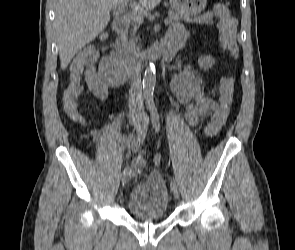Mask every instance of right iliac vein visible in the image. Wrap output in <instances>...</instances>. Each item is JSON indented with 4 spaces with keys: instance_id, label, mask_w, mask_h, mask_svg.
<instances>
[{
    "instance_id": "right-iliac-vein-1",
    "label": "right iliac vein",
    "mask_w": 295,
    "mask_h": 250,
    "mask_svg": "<svg viewBox=\"0 0 295 250\" xmlns=\"http://www.w3.org/2000/svg\"><path fill=\"white\" fill-rule=\"evenodd\" d=\"M131 124H132V127L134 129H138V127L140 126V118L138 117H134L132 118L131 120ZM131 179V175L130 174H124L122 175V184L125 185L126 183H128Z\"/></svg>"
}]
</instances>
